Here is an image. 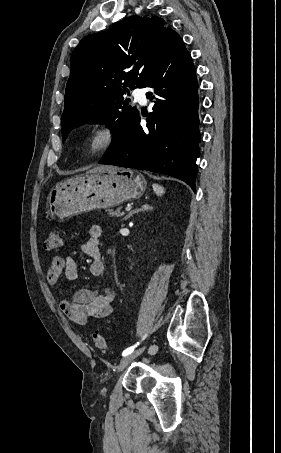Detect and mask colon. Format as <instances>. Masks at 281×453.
<instances>
[{"mask_svg": "<svg viewBox=\"0 0 281 453\" xmlns=\"http://www.w3.org/2000/svg\"><path fill=\"white\" fill-rule=\"evenodd\" d=\"M62 232L61 230L55 229L49 232L48 238L44 243L45 251L47 252H59L62 249ZM93 346L97 350H106L108 348V339L99 334H95L93 338Z\"/></svg>", "mask_w": 281, "mask_h": 453, "instance_id": "1", "label": "colon"}]
</instances>
